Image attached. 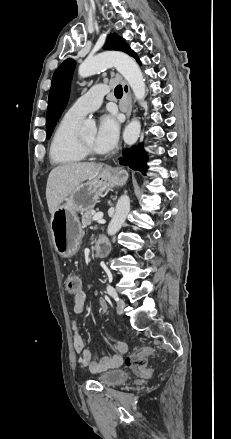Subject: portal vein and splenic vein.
I'll list each match as a JSON object with an SVG mask.
<instances>
[{
  "label": "portal vein and splenic vein",
  "instance_id": "obj_1",
  "mask_svg": "<svg viewBox=\"0 0 231 439\" xmlns=\"http://www.w3.org/2000/svg\"><path fill=\"white\" fill-rule=\"evenodd\" d=\"M103 218V213H97L93 215V220L99 222Z\"/></svg>",
  "mask_w": 231,
  "mask_h": 439
}]
</instances>
